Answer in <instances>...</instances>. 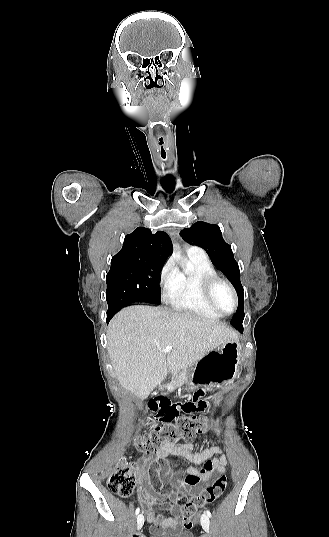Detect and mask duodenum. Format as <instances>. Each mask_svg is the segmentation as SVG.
I'll list each match as a JSON object with an SVG mask.
<instances>
[{"label":"duodenum","instance_id":"obj_1","mask_svg":"<svg viewBox=\"0 0 329 537\" xmlns=\"http://www.w3.org/2000/svg\"><path fill=\"white\" fill-rule=\"evenodd\" d=\"M172 384L171 381L166 383V387H169ZM165 404V399L163 397H156L151 400L150 406L152 410H157L159 407H163Z\"/></svg>","mask_w":329,"mask_h":537}]
</instances>
